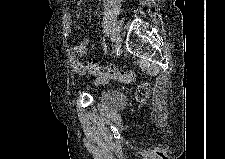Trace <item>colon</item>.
<instances>
[{
  "label": "colon",
  "mask_w": 225,
  "mask_h": 159,
  "mask_svg": "<svg viewBox=\"0 0 225 159\" xmlns=\"http://www.w3.org/2000/svg\"><path fill=\"white\" fill-rule=\"evenodd\" d=\"M86 68L89 73L96 75L102 83L114 80L123 84H130L135 79V74L131 71L124 72L95 62H89ZM149 91L150 85L148 83L140 84L135 92L137 101L145 102L148 99Z\"/></svg>",
  "instance_id": "1"
}]
</instances>
